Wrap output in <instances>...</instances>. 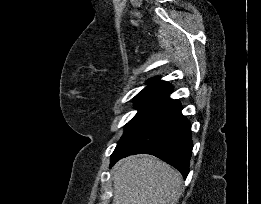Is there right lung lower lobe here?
I'll list each match as a JSON object with an SVG mask.
<instances>
[{"label": "right lung lower lobe", "mask_w": 261, "mask_h": 204, "mask_svg": "<svg viewBox=\"0 0 261 204\" xmlns=\"http://www.w3.org/2000/svg\"><path fill=\"white\" fill-rule=\"evenodd\" d=\"M178 100L167 98L118 142L111 165L130 154H151L178 169L186 179L192 154L191 124Z\"/></svg>", "instance_id": "right-lung-lower-lobe-1"}]
</instances>
